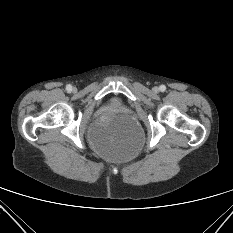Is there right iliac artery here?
Listing matches in <instances>:
<instances>
[{
    "label": "right iliac artery",
    "instance_id": "right-iliac-artery-1",
    "mask_svg": "<svg viewBox=\"0 0 233 233\" xmlns=\"http://www.w3.org/2000/svg\"><path fill=\"white\" fill-rule=\"evenodd\" d=\"M66 89H67V91H71L72 90V86L71 85H67Z\"/></svg>",
    "mask_w": 233,
    "mask_h": 233
}]
</instances>
